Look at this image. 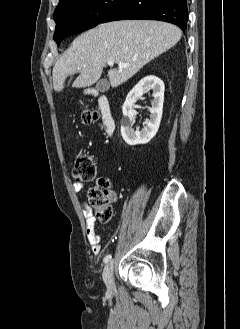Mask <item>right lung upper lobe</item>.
<instances>
[{
	"mask_svg": "<svg viewBox=\"0 0 240 329\" xmlns=\"http://www.w3.org/2000/svg\"><path fill=\"white\" fill-rule=\"evenodd\" d=\"M69 1H71V0H60V1H59V4H58V6H57L56 9L62 7L64 4H66V3L69 2Z\"/></svg>",
	"mask_w": 240,
	"mask_h": 329,
	"instance_id": "1",
	"label": "right lung upper lobe"
}]
</instances>
